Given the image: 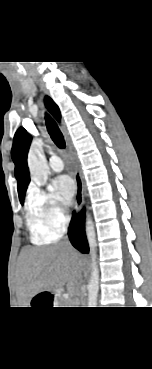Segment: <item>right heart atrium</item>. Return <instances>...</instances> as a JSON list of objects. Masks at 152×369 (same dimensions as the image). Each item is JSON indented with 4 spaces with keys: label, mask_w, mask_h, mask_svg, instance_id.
<instances>
[{
    "label": "right heart atrium",
    "mask_w": 152,
    "mask_h": 369,
    "mask_svg": "<svg viewBox=\"0 0 152 369\" xmlns=\"http://www.w3.org/2000/svg\"><path fill=\"white\" fill-rule=\"evenodd\" d=\"M28 207L42 221L50 234L59 235L70 221L66 206L56 194L49 191L32 187Z\"/></svg>",
    "instance_id": "d8ad5b80"
}]
</instances>
